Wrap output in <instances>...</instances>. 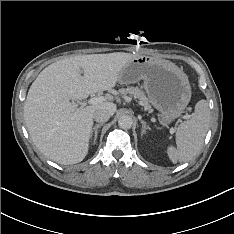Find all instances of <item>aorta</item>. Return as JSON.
<instances>
[{
  "instance_id": "1",
  "label": "aorta",
  "mask_w": 234,
  "mask_h": 234,
  "mask_svg": "<svg viewBox=\"0 0 234 234\" xmlns=\"http://www.w3.org/2000/svg\"><path fill=\"white\" fill-rule=\"evenodd\" d=\"M133 124L132 117L129 115H121L118 119V125L122 129H129Z\"/></svg>"
}]
</instances>
